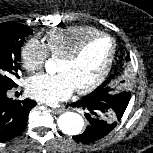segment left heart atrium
I'll return each instance as SVG.
<instances>
[{
  "label": "left heart atrium",
  "mask_w": 153,
  "mask_h": 153,
  "mask_svg": "<svg viewBox=\"0 0 153 153\" xmlns=\"http://www.w3.org/2000/svg\"><path fill=\"white\" fill-rule=\"evenodd\" d=\"M74 87L68 76L64 73L39 74L29 79L27 83L28 94L43 103L55 105L70 97Z\"/></svg>",
  "instance_id": "left-heart-atrium-1"
}]
</instances>
